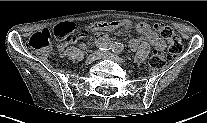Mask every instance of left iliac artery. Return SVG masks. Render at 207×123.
<instances>
[{"instance_id":"left-iliac-artery-1","label":"left iliac artery","mask_w":207,"mask_h":123,"mask_svg":"<svg viewBox=\"0 0 207 123\" xmlns=\"http://www.w3.org/2000/svg\"><path fill=\"white\" fill-rule=\"evenodd\" d=\"M123 45L121 43H115L113 48H112V52L114 53H121L123 51Z\"/></svg>"}]
</instances>
